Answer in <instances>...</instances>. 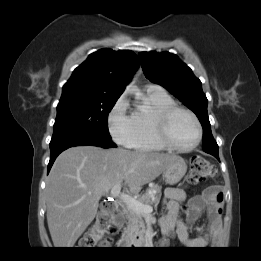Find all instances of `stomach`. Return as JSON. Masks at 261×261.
<instances>
[{"mask_svg":"<svg viewBox=\"0 0 261 261\" xmlns=\"http://www.w3.org/2000/svg\"><path fill=\"white\" fill-rule=\"evenodd\" d=\"M187 171V165L183 158L177 156L163 172V179L169 185L178 183Z\"/></svg>","mask_w":261,"mask_h":261,"instance_id":"1","label":"stomach"}]
</instances>
